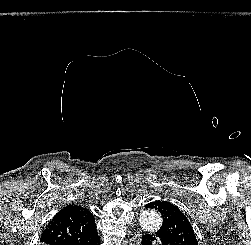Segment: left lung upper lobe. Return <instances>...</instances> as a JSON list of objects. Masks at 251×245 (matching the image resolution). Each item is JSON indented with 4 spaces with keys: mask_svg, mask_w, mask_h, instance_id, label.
<instances>
[{
    "mask_svg": "<svg viewBox=\"0 0 251 245\" xmlns=\"http://www.w3.org/2000/svg\"><path fill=\"white\" fill-rule=\"evenodd\" d=\"M146 207L158 210L163 217V224L158 233L167 235L176 245H198L188 219L177 206L157 200L146 204Z\"/></svg>",
    "mask_w": 251,
    "mask_h": 245,
    "instance_id": "left-lung-upper-lobe-1",
    "label": "left lung upper lobe"
}]
</instances>
